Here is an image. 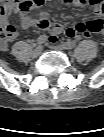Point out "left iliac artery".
Here are the masks:
<instances>
[{"mask_svg":"<svg viewBox=\"0 0 104 137\" xmlns=\"http://www.w3.org/2000/svg\"><path fill=\"white\" fill-rule=\"evenodd\" d=\"M75 46V43H67V48L71 49Z\"/></svg>","mask_w":104,"mask_h":137,"instance_id":"obj_1","label":"left iliac artery"}]
</instances>
